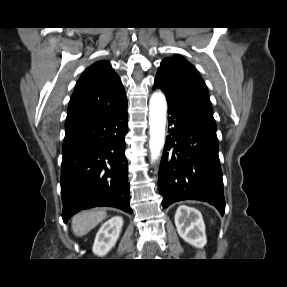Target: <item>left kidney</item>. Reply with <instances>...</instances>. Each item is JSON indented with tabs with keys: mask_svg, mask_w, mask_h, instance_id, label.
I'll return each mask as SVG.
<instances>
[{
	"mask_svg": "<svg viewBox=\"0 0 287 287\" xmlns=\"http://www.w3.org/2000/svg\"><path fill=\"white\" fill-rule=\"evenodd\" d=\"M175 225L179 236L192 246L203 248L206 245L205 224L197 209L179 206L175 214Z\"/></svg>",
	"mask_w": 287,
	"mask_h": 287,
	"instance_id": "obj_1",
	"label": "left kidney"
}]
</instances>
